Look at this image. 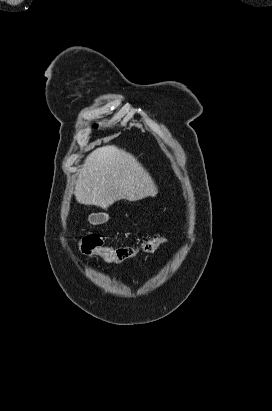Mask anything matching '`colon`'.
Segmentation results:
<instances>
[{"label": "colon", "instance_id": "5ec220e1", "mask_svg": "<svg viewBox=\"0 0 272 411\" xmlns=\"http://www.w3.org/2000/svg\"><path fill=\"white\" fill-rule=\"evenodd\" d=\"M165 239L156 237L144 242L139 248L123 246L112 248L104 245L103 239L98 235H86L80 241V250L87 256H100L108 263L118 264L136 255L138 251L150 253L155 251Z\"/></svg>", "mask_w": 272, "mask_h": 411}]
</instances>
